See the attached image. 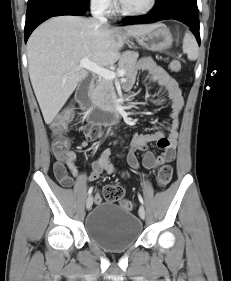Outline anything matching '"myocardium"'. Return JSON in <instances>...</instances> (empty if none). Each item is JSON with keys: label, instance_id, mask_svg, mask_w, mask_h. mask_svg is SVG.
Instances as JSON below:
<instances>
[{"label": "myocardium", "instance_id": "1", "mask_svg": "<svg viewBox=\"0 0 231 281\" xmlns=\"http://www.w3.org/2000/svg\"><path fill=\"white\" fill-rule=\"evenodd\" d=\"M156 5L157 0H150L148 5L142 9H129L120 1L119 8L120 12L127 16H145L151 13L156 8Z\"/></svg>", "mask_w": 231, "mask_h": 281}]
</instances>
